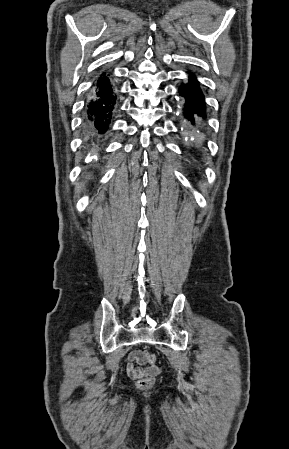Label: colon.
Returning a JSON list of instances; mask_svg holds the SVG:
<instances>
[{
  "label": "colon",
  "instance_id": "colon-1",
  "mask_svg": "<svg viewBox=\"0 0 289 449\" xmlns=\"http://www.w3.org/2000/svg\"><path fill=\"white\" fill-rule=\"evenodd\" d=\"M146 360L148 363L154 364L156 361L155 354L146 352ZM153 383H154V375L145 376L137 380V385L141 389L149 388L153 385Z\"/></svg>",
  "mask_w": 289,
  "mask_h": 449
}]
</instances>
